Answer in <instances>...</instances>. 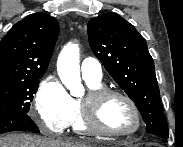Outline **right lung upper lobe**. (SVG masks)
<instances>
[{
    "instance_id": "obj_1",
    "label": "right lung upper lobe",
    "mask_w": 183,
    "mask_h": 147,
    "mask_svg": "<svg viewBox=\"0 0 183 147\" xmlns=\"http://www.w3.org/2000/svg\"><path fill=\"white\" fill-rule=\"evenodd\" d=\"M58 34L57 20L45 13L16 23L0 42V82L42 77Z\"/></svg>"
}]
</instances>
